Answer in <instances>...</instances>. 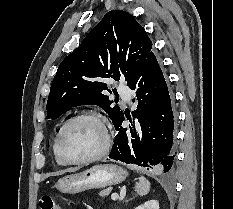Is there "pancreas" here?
<instances>
[{
  "mask_svg": "<svg viewBox=\"0 0 233 209\" xmlns=\"http://www.w3.org/2000/svg\"><path fill=\"white\" fill-rule=\"evenodd\" d=\"M105 195H106L105 191L100 192V196H105Z\"/></svg>",
  "mask_w": 233,
  "mask_h": 209,
  "instance_id": "obj_1",
  "label": "pancreas"
}]
</instances>
